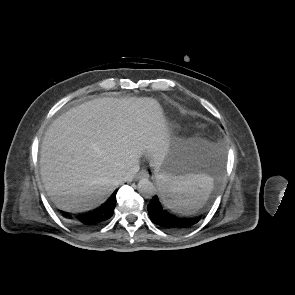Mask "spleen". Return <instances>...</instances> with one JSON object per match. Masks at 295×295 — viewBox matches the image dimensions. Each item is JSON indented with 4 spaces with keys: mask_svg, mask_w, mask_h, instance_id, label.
<instances>
[{
    "mask_svg": "<svg viewBox=\"0 0 295 295\" xmlns=\"http://www.w3.org/2000/svg\"><path fill=\"white\" fill-rule=\"evenodd\" d=\"M157 181L165 206L182 215L200 209L213 188V179L206 174L180 177L159 174Z\"/></svg>",
    "mask_w": 295,
    "mask_h": 295,
    "instance_id": "1",
    "label": "spleen"
}]
</instances>
